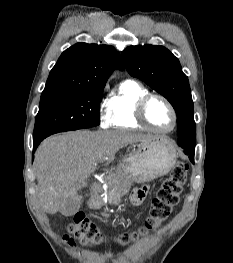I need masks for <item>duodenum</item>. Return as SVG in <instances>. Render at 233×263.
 <instances>
[{
  "label": "duodenum",
  "mask_w": 233,
  "mask_h": 263,
  "mask_svg": "<svg viewBox=\"0 0 233 263\" xmlns=\"http://www.w3.org/2000/svg\"><path fill=\"white\" fill-rule=\"evenodd\" d=\"M89 206L93 209L98 208L100 206V203L98 202V199L96 196H91L89 198Z\"/></svg>",
  "instance_id": "obj_1"
}]
</instances>
